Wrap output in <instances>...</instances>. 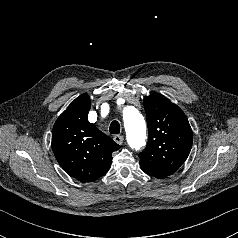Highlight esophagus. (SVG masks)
Returning a JSON list of instances; mask_svg holds the SVG:
<instances>
[{
    "mask_svg": "<svg viewBox=\"0 0 238 238\" xmlns=\"http://www.w3.org/2000/svg\"><path fill=\"white\" fill-rule=\"evenodd\" d=\"M114 141L119 144V145H122L123 144V141H124V137L121 136V135H115L113 137Z\"/></svg>",
    "mask_w": 238,
    "mask_h": 238,
    "instance_id": "34e87169",
    "label": "esophagus"
}]
</instances>
